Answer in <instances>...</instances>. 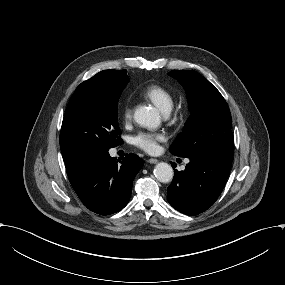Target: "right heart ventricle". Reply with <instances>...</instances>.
<instances>
[{
	"instance_id": "right-heart-ventricle-1",
	"label": "right heart ventricle",
	"mask_w": 285,
	"mask_h": 285,
	"mask_svg": "<svg viewBox=\"0 0 285 285\" xmlns=\"http://www.w3.org/2000/svg\"><path fill=\"white\" fill-rule=\"evenodd\" d=\"M141 95L163 111H168L173 104L172 92L166 86L158 83H151L144 87Z\"/></svg>"
}]
</instances>
